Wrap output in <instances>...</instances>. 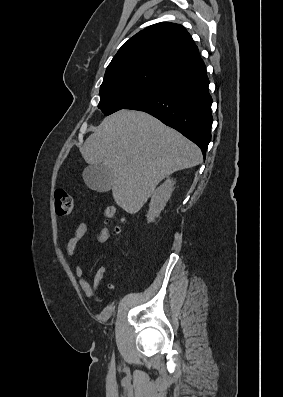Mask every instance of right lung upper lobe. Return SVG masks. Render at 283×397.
<instances>
[{
	"instance_id": "obj_1",
	"label": "right lung upper lobe",
	"mask_w": 283,
	"mask_h": 397,
	"mask_svg": "<svg viewBox=\"0 0 283 397\" xmlns=\"http://www.w3.org/2000/svg\"><path fill=\"white\" fill-rule=\"evenodd\" d=\"M205 67L187 30L162 22L130 38L108 65L105 76L143 73L171 81Z\"/></svg>"
}]
</instances>
